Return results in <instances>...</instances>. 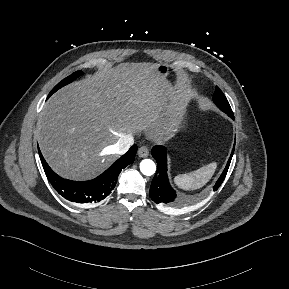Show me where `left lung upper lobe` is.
I'll use <instances>...</instances> for the list:
<instances>
[{
	"label": "left lung upper lobe",
	"mask_w": 289,
	"mask_h": 289,
	"mask_svg": "<svg viewBox=\"0 0 289 289\" xmlns=\"http://www.w3.org/2000/svg\"><path fill=\"white\" fill-rule=\"evenodd\" d=\"M213 101L222 111L228 112L231 110V107H230L225 95L219 89L218 86H216V90H215V93L213 95Z\"/></svg>",
	"instance_id": "left-lung-upper-lobe-1"
}]
</instances>
